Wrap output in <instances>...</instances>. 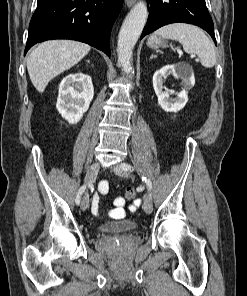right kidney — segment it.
<instances>
[{
  "instance_id": "obj_1",
  "label": "right kidney",
  "mask_w": 247,
  "mask_h": 296,
  "mask_svg": "<svg viewBox=\"0 0 247 296\" xmlns=\"http://www.w3.org/2000/svg\"><path fill=\"white\" fill-rule=\"evenodd\" d=\"M94 96L91 77L84 73H72L59 85L56 108L61 116L74 124L81 120Z\"/></svg>"
}]
</instances>
